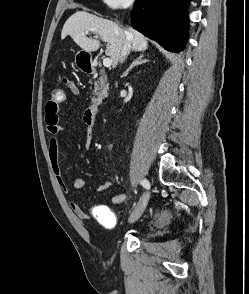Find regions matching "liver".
<instances>
[{
  "label": "liver",
  "mask_w": 249,
  "mask_h": 294,
  "mask_svg": "<svg viewBox=\"0 0 249 294\" xmlns=\"http://www.w3.org/2000/svg\"><path fill=\"white\" fill-rule=\"evenodd\" d=\"M86 32L99 35L108 43L105 53L111 57L114 67L118 63L122 47L127 39L135 52L145 51L148 48L147 38L138 31L131 27L122 29L113 21L100 18L86 11H77L67 19L61 32V38L64 39L69 35L84 51H97L100 42L88 38Z\"/></svg>",
  "instance_id": "obj_1"
}]
</instances>
